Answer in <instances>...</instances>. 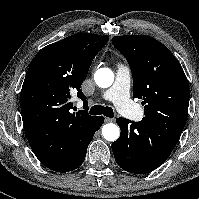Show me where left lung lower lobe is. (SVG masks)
<instances>
[{"mask_svg":"<svg viewBox=\"0 0 199 199\" xmlns=\"http://www.w3.org/2000/svg\"><path fill=\"white\" fill-rule=\"evenodd\" d=\"M116 122L121 134L112 143L115 160L122 169L135 174L148 173L161 166L181 135L144 119L131 122L120 117Z\"/></svg>","mask_w":199,"mask_h":199,"instance_id":"0a47b994","label":"left lung lower lobe"}]
</instances>
